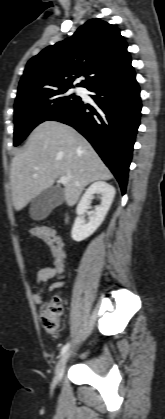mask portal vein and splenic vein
<instances>
[{
    "label": "portal vein and splenic vein",
    "instance_id": "obj_1",
    "mask_svg": "<svg viewBox=\"0 0 165 419\" xmlns=\"http://www.w3.org/2000/svg\"><path fill=\"white\" fill-rule=\"evenodd\" d=\"M69 179L70 177H61L58 182L65 185L68 183Z\"/></svg>",
    "mask_w": 165,
    "mask_h": 419
}]
</instances>
